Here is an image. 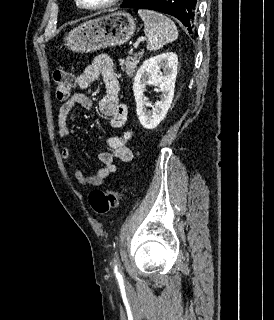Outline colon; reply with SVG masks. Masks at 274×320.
<instances>
[{
    "label": "colon",
    "mask_w": 274,
    "mask_h": 320,
    "mask_svg": "<svg viewBox=\"0 0 274 320\" xmlns=\"http://www.w3.org/2000/svg\"><path fill=\"white\" fill-rule=\"evenodd\" d=\"M53 80L56 99L58 101L68 100L74 89L72 73L63 65H59L53 71ZM126 192V187H123L121 191L97 189L89 194L88 204L97 215L104 216L109 210L119 205Z\"/></svg>",
    "instance_id": "1"
}]
</instances>
